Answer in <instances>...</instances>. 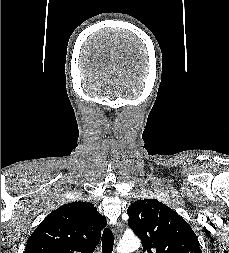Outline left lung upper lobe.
Returning <instances> with one entry per match:
<instances>
[{
	"label": "left lung upper lobe",
	"mask_w": 229,
	"mask_h": 253,
	"mask_svg": "<svg viewBox=\"0 0 229 253\" xmlns=\"http://www.w3.org/2000/svg\"><path fill=\"white\" fill-rule=\"evenodd\" d=\"M128 225L148 253H202L188 223L174 210L155 199L131 204Z\"/></svg>",
	"instance_id": "5c2ea615"
}]
</instances>
